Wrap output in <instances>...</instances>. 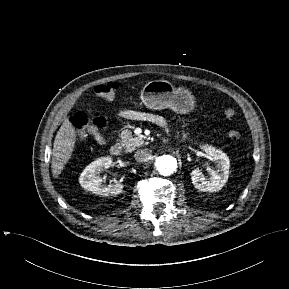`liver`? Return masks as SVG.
I'll return each instance as SVG.
<instances>
[{
    "label": "liver",
    "mask_w": 289,
    "mask_h": 289,
    "mask_svg": "<svg viewBox=\"0 0 289 289\" xmlns=\"http://www.w3.org/2000/svg\"><path fill=\"white\" fill-rule=\"evenodd\" d=\"M75 142L76 131L72 123L67 118L57 132L53 144L51 168L52 174L55 178L61 174L65 165L71 158Z\"/></svg>",
    "instance_id": "obj_1"
}]
</instances>
